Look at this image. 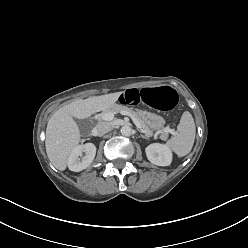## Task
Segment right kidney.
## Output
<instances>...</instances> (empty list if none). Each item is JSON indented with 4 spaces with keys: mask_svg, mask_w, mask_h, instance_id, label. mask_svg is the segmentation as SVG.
<instances>
[{
    "mask_svg": "<svg viewBox=\"0 0 248 248\" xmlns=\"http://www.w3.org/2000/svg\"><path fill=\"white\" fill-rule=\"evenodd\" d=\"M83 152L85 156L82 157ZM96 155V147L93 143L76 146L68 157V168L74 172H80L86 169Z\"/></svg>",
    "mask_w": 248,
    "mask_h": 248,
    "instance_id": "1",
    "label": "right kidney"
}]
</instances>
